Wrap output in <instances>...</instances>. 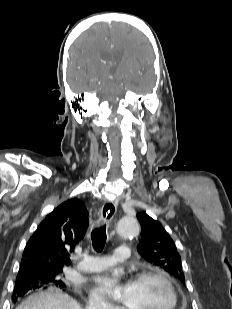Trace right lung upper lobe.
I'll list each match as a JSON object with an SVG mask.
<instances>
[{"label":"right lung upper lobe","mask_w":232,"mask_h":309,"mask_svg":"<svg viewBox=\"0 0 232 309\" xmlns=\"http://www.w3.org/2000/svg\"><path fill=\"white\" fill-rule=\"evenodd\" d=\"M88 224L87 209L78 199L58 206L28 240L19 271L62 270L70 264L68 251L83 239Z\"/></svg>","instance_id":"right-lung-upper-lobe-1"}]
</instances>
